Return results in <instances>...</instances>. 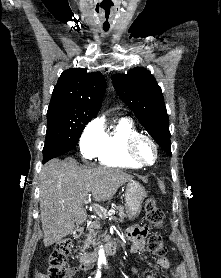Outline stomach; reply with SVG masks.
Segmentation results:
<instances>
[{
    "mask_svg": "<svg viewBox=\"0 0 221 278\" xmlns=\"http://www.w3.org/2000/svg\"><path fill=\"white\" fill-rule=\"evenodd\" d=\"M145 197V188L139 182L131 180L127 183L125 205L130 219H135L140 214Z\"/></svg>",
    "mask_w": 221,
    "mask_h": 278,
    "instance_id": "1",
    "label": "stomach"
}]
</instances>
